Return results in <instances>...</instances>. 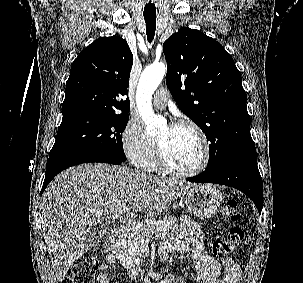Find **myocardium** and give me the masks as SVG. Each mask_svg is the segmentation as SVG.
Segmentation results:
<instances>
[{
    "instance_id": "f54148a6",
    "label": "myocardium",
    "mask_w": 303,
    "mask_h": 283,
    "mask_svg": "<svg viewBox=\"0 0 303 283\" xmlns=\"http://www.w3.org/2000/svg\"><path fill=\"white\" fill-rule=\"evenodd\" d=\"M173 126L190 127L196 132V134L198 135V137L200 139L201 146H202L201 161H200L199 165L192 170L183 171V170L176 169L168 162L161 145L157 141L156 142V157H157L158 166L164 172H166L172 176H176V177L189 178V177H194V176L202 173L207 168L209 161H210V156H211L210 142H209V139H208L206 133L196 122L189 120V119L179 120L176 123H174Z\"/></svg>"
}]
</instances>
